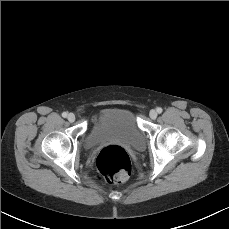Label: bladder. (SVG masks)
I'll return each instance as SVG.
<instances>
[{
  "mask_svg": "<svg viewBox=\"0 0 229 229\" xmlns=\"http://www.w3.org/2000/svg\"><path fill=\"white\" fill-rule=\"evenodd\" d=\"M110 141L120 142L136 152L146 147L144 133L134 115L126 109H107L100 113L87 132L85 146L93 148Z\"/></svg>",
  "mask_w": 229,
  "mask_h": 229,
  "instance_id": "1",
  "label": "bladder"
}]
</instances>
